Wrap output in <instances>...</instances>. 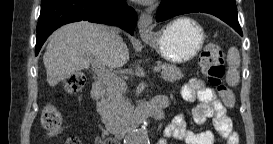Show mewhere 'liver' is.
Listing matches in <instances>:
<instances>
[{"mask_svg":"<svg viewBox=\"0 0 273 144\" xmlns=\"http://www.w3.org/2000/svg\"><path fill=\"white\" fill-rule=\"evenodd\" d=\"M128 59L129 51L121 37L113 38L109 27L87 21L57 29L43 56L47 82L52 87L90 64L115 69Z\"/></svg>","mask_w":273,"mask_h":144,"instance_id":"6515ba94","label":"liver"}]
</instances>
